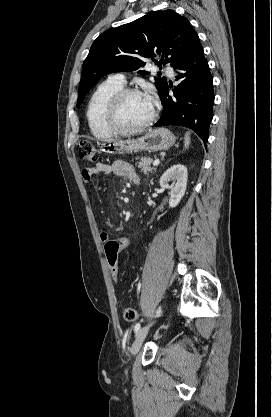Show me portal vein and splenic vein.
<instances>
[{
    "mask_svg": "<svg viewBox=\"0 0 272 417\" xmlns=\"http://www.w3.org/2000/svg\"><path fill=\"white\" fill-rule=\"evenodd\" d=\"M160 164V161L158 160V159H156L154 162H153V166H158Z\"/></svg>",
    "mask_w": 272,
    "mask_h": 417,
    "instance_id": "obj_1",
    "label": "portal vein and splenic vein"
}]
</instances>
